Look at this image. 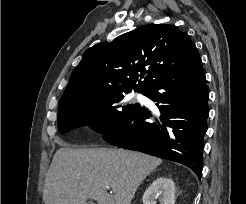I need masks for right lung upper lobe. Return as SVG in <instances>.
<instances>
[{"mask_svg":"<svg viewBox=\"0 0 246 204\" xmlns=\"http://www.w3.org/2000/svg\"><path fill=\"white\" fill-rule=\"evenodd\" d=\"M198 59L195 45L175 26L146 25L87 49L59 105L90 96L127 93L132 88L144 93Z\"/></svg>","mask_w":246,"mask_h":204,"instance_id":"obj_1","label":"right lung upper lobe"}]
</instances>
